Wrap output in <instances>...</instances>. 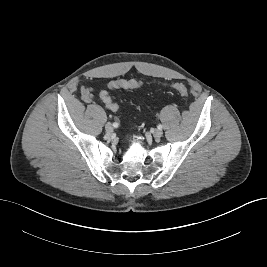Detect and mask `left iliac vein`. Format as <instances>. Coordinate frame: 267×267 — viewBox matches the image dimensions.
I'll return each instance as SVG.
<instances>
[{
  "mask_svg": "<svg viewBox=\"0 0 267 267\" xmlns=\"http://www.w3.org/2000/svg\"><path fill=\"white\" fill-rule=\"evenodd\" d=\"M162 134H163V132H162V130H160V129H155V130L153 131V136H154L155 138H160V137L162 136Z\"/></svg>",
  "mask_w": 267,
  "mask_h": 267,
  "instance_id": "1",
  "label": "left iliac vein"
}]
</instances>
